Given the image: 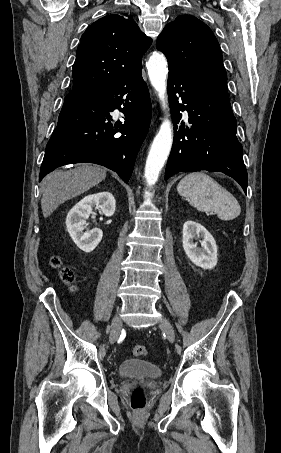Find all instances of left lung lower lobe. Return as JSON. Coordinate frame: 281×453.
<instances>
[{"label":"left lung lower lobe","instance_id":"left-lung-lower-lobe-1","mask_svg":"<svg viewBox=\"0 0 281 453\" xmlns=\"http://www.w3.org/2000/svg\"><path fill=\"white\" fill-rule=\"evenodd\" d=\"M168 94L174 142L165 180L178 172L220 171L234 178L247 194L243 150L236 137V119L227 81L192 78L169 68ZM186 110L189 124L181 121Z\"/></svg>","mask_w":281,"mask_h":453}]
</instances>
